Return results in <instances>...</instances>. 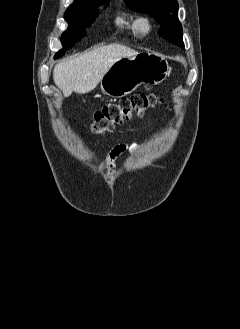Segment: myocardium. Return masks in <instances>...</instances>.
<instances>
[{
	"instance_id": "f54148a6",
	"label": "myocardium",
	"mask_w": 240,
	"mask_h": 329,
	"mask_svg": "<svg viewBox=\"0 0 240 329\" xmlns=\"http://www.w3.org/2000/svg\"><path fill=\"white\" fill-rule=\"evenodd\" d=\"M136 31L142 35L149 34L153 29V22L147 15H140L135 23Z\"/></svg>"
}]
</instances>
